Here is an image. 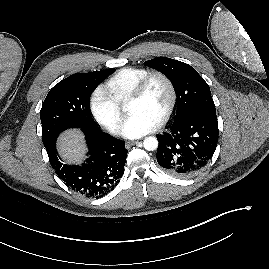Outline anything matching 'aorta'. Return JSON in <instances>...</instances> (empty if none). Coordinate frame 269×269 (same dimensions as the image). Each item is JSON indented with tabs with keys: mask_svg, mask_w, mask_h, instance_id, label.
<instances>
[{
	"mask_svg": "<svg viewBox=\"0 0 269 269\" xmlns=\"http://www.w3.org/2000/svg\"><path fill=\"white\" fill-rule=\"evenodd\" d=\"M143 146L146 150L153 151L158 147V140L153 136L147 137L144 139Z\"/></svg>",
	"mask_w": 269,
	"mask_h": 269,
	"instance_id": "obj_1",
	"label": "aorta"
}]
</instances>
